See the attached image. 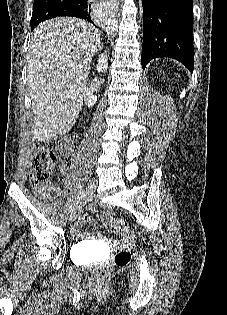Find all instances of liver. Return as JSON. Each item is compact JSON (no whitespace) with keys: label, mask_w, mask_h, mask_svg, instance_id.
<instances>
[{"label":"liver","mask_w":227,"mask_h":315,"mask_svg":"<svg viewBox=\"0 0 227 315\" xmlns=\"http://www.w3.org/2000/svg\"><path fill=\"white\" fill-rule=\"evenodd\" d=\"M99 43L100 31L81 19L54 18L35 28L27 55V79L37 141H49L76 123Z\"/></svg>","instance_id":"liver-1"}]
</instances>
